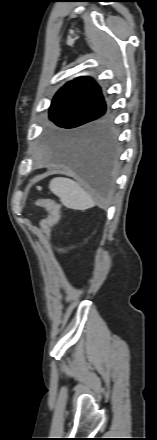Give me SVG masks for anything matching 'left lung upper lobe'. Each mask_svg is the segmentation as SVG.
<instances>
[{
    "label": "left lung upper lobe",
    "instance_id": "obj_1",
    "mask_svg": "<svg viewBox=\"0 0 157 440\" xmlns=\"http://www.w3.org/2000/svg\"><path fill=\"white\" fill-rule=\"evenodd\" d=\"M106 105L100 87L89 77H79L66 83L55 95L50 120L66 130L72 139L97 133L108 126L104 115Z\"/></svg>",
    "mask_w": 157,
    "mask_h": 440
}]
</instances>
